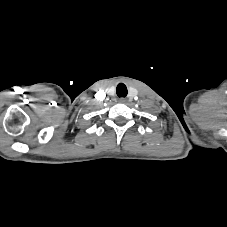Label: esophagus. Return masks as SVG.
<instances>
[{
  "label": "esophagus",
  "instance_id": "obj_1",
  "mask_svg": "<svg viewBox=\"0 0 227 227\" xmlns=\"http://www.w3.org/2000/svg\"><path fill=\"white\" fill-rule=\"evenodd\" d=\"M119 101H120L121 103H124L126 100H125V98H120Z\"/></svg>",
  "mask_w": 227,
  "mask_h": 227
}]
</instances>
